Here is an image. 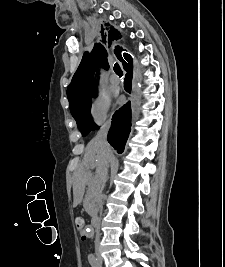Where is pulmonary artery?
I'll list each match as a JSON object with an SVG mask.
<instances>
[{"label": "pulmonary artery", "mask_w": 225, "mask_h": 267, "mask_svg": "<svg viewBox=\"0 0 225 267\" xmlns=\"http://www.w3.org/2000/svg\"><path fill=\"white\" fill-rule=\"evenodd\" d=\"M111 81H112L114 84H119V83H120V78H119L115 73H112Z\"/></svg>", "instance_id": "e3ab8cb5"}]
</instances>
